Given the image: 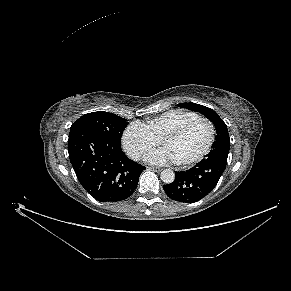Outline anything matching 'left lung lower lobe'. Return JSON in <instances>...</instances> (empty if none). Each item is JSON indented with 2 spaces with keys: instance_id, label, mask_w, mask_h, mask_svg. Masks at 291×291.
Instances as JSON below:
<instances>
[{
  "instance_id": "1",
  "label": "left lung lower lobe",
  "mask_w": 291,
  "mask_h": 291,
  "mask_svg": "<svg viewBox=\"0 0 291 291\" xmlns=\"http://www.w3.org/2000/svg\"><path fill=\"white\" fill-rule=\"evenodd\" d=\"M230 142L213 144L212 151L194 167L175 172V180L163 186L173 200L194 203L207 196L223 174L229 153Z\"/></svg>"
}]
</instances>
